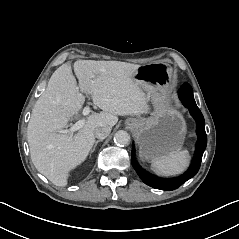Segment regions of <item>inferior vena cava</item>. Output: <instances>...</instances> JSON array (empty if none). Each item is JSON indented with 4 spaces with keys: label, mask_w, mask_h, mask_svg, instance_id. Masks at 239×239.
I'll list each match as a JSON object with an SVG mask.
<instances>
[{
    "label": "inferior vena cava",
    "mask_w": 239,
    "mask_h": 239,
    "mask_svg": "<svg viewBox=\"0 0 239 239\" xmlns=\"http://www.w3.org/2000/svg\"><path fill=\"white\" fill-rule=\"evenodd\" d=\"M111 132V127L107 125H101L95 129V137L98 139H105Z\"/></svg>",
    "instance_id": "obj_1"
}]
</instances>
